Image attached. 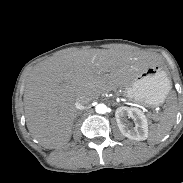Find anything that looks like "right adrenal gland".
Masks as SVG:
<instances>
[{
	"label": "right adrenal gland",
	"instance_id": "obj_1",
	"mask_svg": "<svg viewBox=\"0 0 183 183\" xmlns=\"http://www.w3.org/2000/svg\"><path fill=\"white\" fill-rule=\"evenodd\" d=\"M81 114H82V112L79 111V112L77 113L76 116L78 117V116H80Z\"/></svg>",
	"mask_w": 183,
	"mask_h": 183
}]
</instances>
